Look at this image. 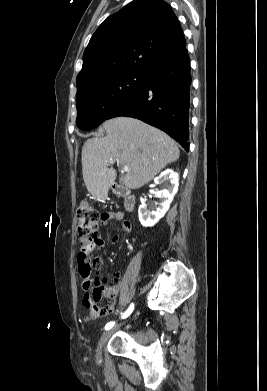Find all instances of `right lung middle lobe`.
Returning a JSON list of instances; mask_svg holds the SVG:
<instances>
[{
  "instance_id": "right-lung-middle-lobe-1",
  "label": "right lung middle lobe",
  "mask_w": 267,
  "mask_h": 391,
  "mask_svg": "<svg viewBox=\"0 0 267 391\" xmlns=\"http://www.w3.org/2000/svg\"><path fill=\"white\" fill-rule=\"evenodd\" d=\"M144 78V72L124 71L90 80L77 91V126L82 130L99 126L114 109L141 88Z\"/></svg>"
}]
</instances>
